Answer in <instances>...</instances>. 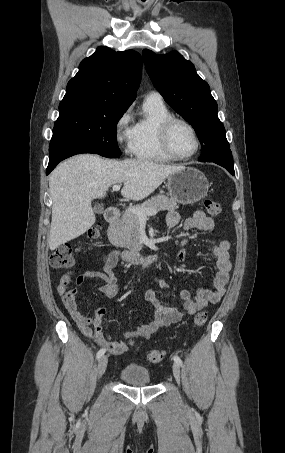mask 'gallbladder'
I'll return each mask as SVG.
<instances>
[{
    "label": "gallbladder",
    "mask_w": 285,
    "mask_h": 453,
    "mask_svg": "<svg viewBox=\"0 0 285 453\" xmlns=\"http://www.w3.org/2000/svg\"><path fill=\"white\" fill-rule=\"evenodd\" d=\"M103 211H104L103 206H101V205L94 206V212L95 213L101 214V213H103Z\"/></svg>",
    "instance_id": "1"
}]
</instances>
